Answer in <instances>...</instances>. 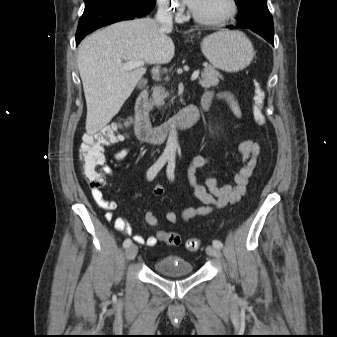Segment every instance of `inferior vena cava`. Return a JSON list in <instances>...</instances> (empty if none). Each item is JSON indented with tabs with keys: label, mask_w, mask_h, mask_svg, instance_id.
<instances>
[{
	"label": "inferior vena cava",
	"mask_w": 337,
	"mask_h": 337,
	"mask_svg": "<svg viewBox=\"0 0 337 337\" xmlns=\"http://www.w3.org/2000/svg\"><path fill=\"white\" fill-rule=\"evenodd\" d=\"M156 21L165 28L172 29L173 26V17L172 13L169 10L167 2L159 3L158 11L156 14ZM159 72L158 67L153 68L152 73L157 75Z\"/></svg>",
	"instance_id": "1"
}]
</instances>
